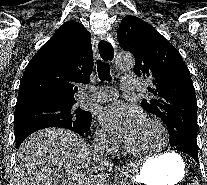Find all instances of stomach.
Instances as JSON below:
<instances>
[{
  "mask_svg": "<svg viewBox=\"0 0 207 185\" xmlns=\"http://www.w3.org/2000/svg\"><path fill=\"white\" fill-rule=\"evenodd\" d=\"M185 164L180 155L166 153L147 160L135 181L145 185H176L184 177Z\"/></svg>",
  "mask_w": 207,
  "mask_h": 185,
  "instance_id": "1",
  "label": "stomach"
}]
</instances>
